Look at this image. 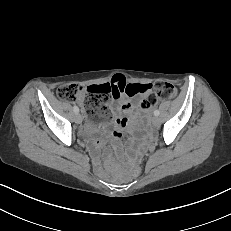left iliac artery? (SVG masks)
<instances>
[{
	"label": "left iliac artery",
	"instance_id": "left-iliac-artery-1",
	"mask_svg": "<svg viewBox=\"0 0 231 231\" xmlns=\"http://www.w3.org/2000/svg\"><path fill=\"white\" fill-rule=\"evenodd\" d=\"M159 114H160L159 110H155V111H154V115H155V116H158Z\"/></svg>",
	"mask_w": 231,
	"mask_h": 231
}]
</instances>
